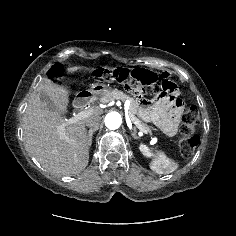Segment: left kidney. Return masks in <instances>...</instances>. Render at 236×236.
Segmentation results:
<instances>
[{
  "label": "left kidney",
  "mask_w": 236,
  "mask_h": 236,
  "mask_svg": "<svg viewBox=\"0 0 236 236\" xmlns=\"http://www.w3.org/2000/svg\"><path fill=\"white\" fill-rule=\"evenodd\" d=\"M139 149L142 152V154L145 155L146 157L152 156L150 149L145 144H141Z\"/></svg>",
  "instance_id": "obj_1"
}]
</instances>
